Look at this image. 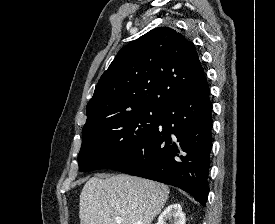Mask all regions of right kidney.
<instances>
[{"label": "right kidney", "instance_id": "ca27d5eb", "mask_svg": "<svg viewBox=\"0 0 275 224\" xmlns=\"http://www.w3.org/2000/svg\"><path fill=\"white\" fill-rule=\"evenodd\" d=\"M169 220L170 224H185V214L179 204L169 205L159 216L156 224H167Z\"/></svg>", "mask_w": 275, "mask_h": 224}]
</instances>
